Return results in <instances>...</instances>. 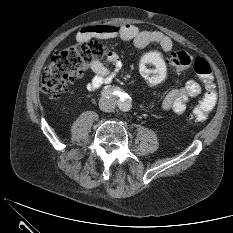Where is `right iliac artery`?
Wrapping results in <instances>:
<instances>
[{
	"instance_id": "82829eb1",
	"label": "right iliac artery",
	"mask_w": 233,
	"mask_h": 233,
	"mask_svg": "<svg viewBox=\"0 0 233 233\" xmlns=\"http://www.w3.org/2000/svg\"><path fill=\"white\" fill-rule=\"evenodd\" d=\"M115 96L118 98V104L120 105L127 97V94L124 93L119 87H109L102 92L103 98H110Z\"/></svg>"
}]
</instances>
